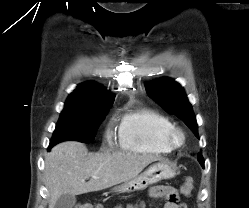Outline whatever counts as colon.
<instances>
[{
  "label": "colon",
  "mask_w": 249,
  "mask_h": 208,
  "mask_svg": "<svg viewBox=\"0 0 249 208\" xmlns=\"http://www.w3.org/2000/svg\"><path fill=\"white\" fill-rule=\"evenodd\" d=\"M192 190H193V179L191 177H187L185 182L181 186L180 192L185 196H189ZM75 208H95V207L90 203H81L78 204ZM96 208H101V207L97 206ZM129 208H136V207L130 206Z\"/></svg>",
  "instance_id": "1"
}]
</instances>
